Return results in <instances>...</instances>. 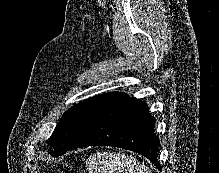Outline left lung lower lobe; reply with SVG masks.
Listing matches in <instances>:
<instances>
[{"mask_svg":"<svg viewBox=\"0 0 219 173\" xmlns=\"http://www.w3.org/2000/svg\"><path fill=\"white\" fill-rule=\"evenodd\" d=\"M154 125L146 103L119 93L98 110L64 153L88 146L120 147L142 154L161 170L157 161L160 141Z\"/></svg>","mask_w":219,"mask_h":173,"instance_id":"obj_1","label":"left lung lower lobe"}]
</instances>
